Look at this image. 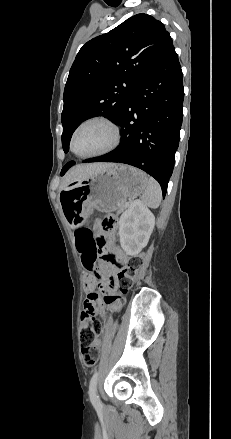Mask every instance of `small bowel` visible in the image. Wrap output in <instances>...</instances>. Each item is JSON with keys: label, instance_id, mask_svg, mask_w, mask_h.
I'll return each instance as SVG.
<instances>
[{"label": "small bowel", "instance_id": "1", "mask_svg": "<svg viewBox=\"0 0 231 439\" xmlns=\"http://www.w3.org/2000/svg\"><path fill=\"white\" fill-rule=\"evenodd\" d=\"M74 239L78 254L82 257L89 251L95 250L98 254L102 256L101 269L108 276L105 282L97 284L94 275H88L85 278V288L87 292V297L84 301V309H93L96 314H102L104 309L103 302L99 299L98 295L95 293V289L98 286L103 292L111 291L114 285L113 274L116 271V267L110 263V261L115 258L117 261H123V255L119 249L113 247L110 244L111 234L106 241L99 240L95 241L90 229L82 226H74ZM99 231L102 229L99 228ZM99 271V270H98ZM94 346L97 349L102 347V340L98 339Z\"/></svg>", "mask_w": 231, "mask_h": 439}]
</instances>
